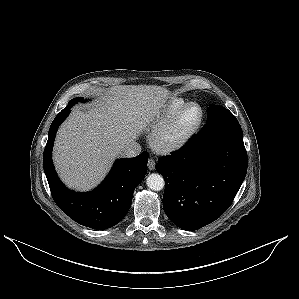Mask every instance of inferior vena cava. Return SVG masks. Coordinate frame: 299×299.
Wrapping results in <instances>:
<instances>
[{
	"label": "inferior vena cava",
	"mask_w": 299,
	"mask_h": 299,
	"mask_svg": "<svg viewBox=\"0 0 299 299\" xmlns=\"http://www.w3.org/2000/svg\"><path fill=\"white\" fill-rule=\"evenodd\" d=\"M141 153V145L135 141L129 142L121 149V155L124 157H136Z\"/></svg>",
	"instance_id": "1"
}]
</instances>
